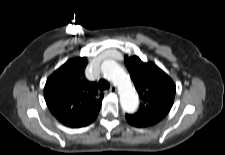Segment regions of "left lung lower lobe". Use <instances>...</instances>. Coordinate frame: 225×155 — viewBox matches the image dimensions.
Instances as JSON below:
<instances>
[{
	"label": "left lung lower lobe",
	"instance_id": "1",
	"mask_svg": "<svg viewBox=\"0 0 225 155\" xmlns=\"http://www.w3.org/2000/svg\"><path fill=\"white\" fill-rule=\"evenodd\" d=\"M127 122L129 123V120L126 118Z\"/></svg>",
	"mask_w": 225,
	"mask_h": 155
}]
</instances>
